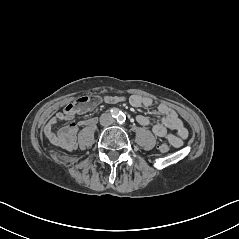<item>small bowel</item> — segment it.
Instances as JSON below:
<instances>
[{
    "label": "small bowel",
    "instance_id": "c3829d8e",
    "mask_svg": "<svg viewBox=\"0 0 239 239\" xmlns=\"http://www.w3.org/2000/svg\"><path fill=\"white\" fill-rule=\"evenodd\" d=\"M104 102L108 104H116L123 102L126 99L121 96L107 95L104 97ZM128 102L135 108H149L154 105V101L151 98L141 95H131L128 98ZM94 104H89L84 108H77L75 103L67 105L63 111L57 113L51 118L44 128V134L47 140L67 151H72L77 148V134L79 128L83 125L92 123V120H85L79 123H71L64 127L55 130V125L59 122H66L72 120L76 115L81 114L89 110ZM157 112L162 116L161 121L152 125V132L159 138L167 139L171 144L179 147L183 144V141L188 137V131L184 126L182 120L178 117L177 113L169 107L167 104L160 103L156 107ZM136 120L142 126L150 125V119L145 115H138Z\"/></svg>",
    "mask_w": 239,
    "mask_h": 239
}]
</instances>
